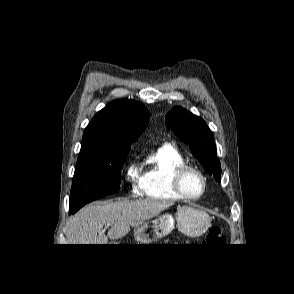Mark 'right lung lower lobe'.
I'll return each instance as SVG.
<instances>
[{
    "mask_svg": "<svg viewBox=\"0 0 294 294\" xmlns=\"http://www.w3.org/2000/svg\"><path fill=\"white\" fill-rule=\"evenodd\" d=\"M81 207H77V208H71V213L74 214L75 212H77Z\"/></svg>",
    "mask_w": 294,
    "mask_h": 294,
    "instance_id": "98d812e1",
    "label": "right lung lower lobe"
}]
</instances>
